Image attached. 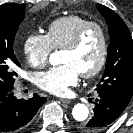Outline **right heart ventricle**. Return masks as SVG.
<instances>
[{
    "mask_svg": "<svg viewBox=\"0 0 133 133\" xmlns=\"http://www.w3.org/2000/svg\"><path fill=\"white\" fill-rule=\"evenodd\" d=\"M87 22H89L88 19L76 14L63 16L52 21L47 29V37L52 47L62 49Z\"/></svg>",
    "mask_w": 133,
    "mask_h": 133,
    "instance_id": "e07e8e85",
    "label": "right heart ventricle"
}]
</instances>
